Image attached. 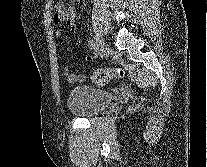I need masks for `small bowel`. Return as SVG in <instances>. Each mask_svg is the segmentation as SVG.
I'll return each mask as SVG.
<instances>
[{
	"label": "small bowel",
	"mask_w": 207,
	"mask_h": 167,
	"mask_svg": "<svg viewBox=\"0 0 207 167\" xmlns=\"http://www.w3.org/2000/svg\"><path fill=\"white\" fill-rule=\"evenodd\" d=\"M55 16H54V22L59 25H66L71 30H75L74 26V19L76 16V9L74 6V2H70L69 4H65L62 1H57L55 4ZM62 32L58 31L57 36H61ZM85 60L89 61L91 60L90 56H86ZM63 73L66 76L68 82L75 83L78 81H84L86 79V75L84 73L76 74L71 72L70 68L68 66H65L63 68Z\"/></svg>",
	"instance_id": "1"
}]
</instances>
